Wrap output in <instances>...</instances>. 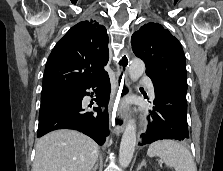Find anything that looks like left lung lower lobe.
Returning a JSON list of instances; mask_svg holds the SVG:
<instances>
[{"instance_id":"0a47b994","label":"left lung lower lobe","mask_w":223,"mask_h":171,"mask_svg":"<svg viewBox=\"0 0 223 171\" xmlns=\"http://www.w3.org/2000/svg\"><path fill=\"white\" fill-rule=\"evenodd\" d=\"M155 99L153 108L148 110L147 131L140 136V145H147L157 140L189 138L187 125L186 94L178 89L153 81Z\"/></svg>"}]
</instances>
